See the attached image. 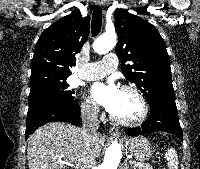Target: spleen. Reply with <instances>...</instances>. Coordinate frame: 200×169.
I'll return each mask as SVG.
<instances>
[{
  "instance_id": "3e777b00",
  "label": "spleen",
  "mask_w": 200,
  "mask_h": 169,
  "mask_svg": "<svg viewBox=\"0 0 200 169\" xmlns=\"http://www.w3.org/2000/svg\"><path fill=\"white\" fill-rule=\"evenodd\" d=\"M165 158L170 169H178V156L175 149L169 148L165 154Z\"/></svg>"
}]
</instances>
